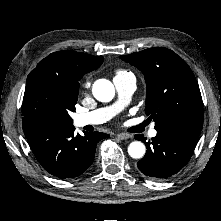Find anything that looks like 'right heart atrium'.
<instances>
[{
	"instance_id": "obj_1",
	"label": "right heart atrium",
	"mask_w": 221,
	"mask_h": 221,
	"mask_svg": "<svg viewBox=\"0 0 221 221\" xmlns=\"http://www.w3.org/2000/svg\"><path fill=\"white\" fill-rule=\"evenodd\" d=\"M89 85H90L89 80H86V81L84 82V84H83V87L86 89V88L89 87Z\"/></svg>"
}]
</instances>
